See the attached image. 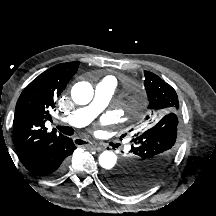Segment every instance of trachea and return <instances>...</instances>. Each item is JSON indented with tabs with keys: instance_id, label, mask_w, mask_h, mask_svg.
Instances as JSON below:
<instances>
[{
	"instance_id": "1",
	"label": "trachea",
	"mask_w": 216,
	"mask_h": 216,
	"mask_svg": "<svg viewBox=\"0 0 216 216\" xmlns=\"http://www.w3.org/2000/svg\"><path fill=\"white\" fill-rule=\"evenodd\" d=\"M57 128L65 135H73L74 134V129L71 127H64V126H57Z\"/></svg>"
}]
</instances>
